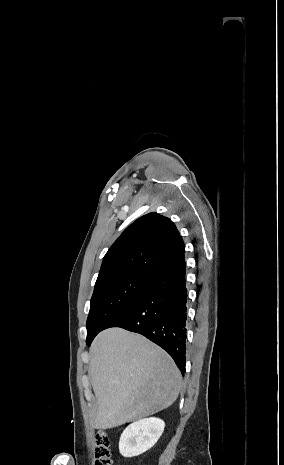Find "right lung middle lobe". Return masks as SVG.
<instances>
[{
    "mask_svg": "<svg viewBox=\"0 0 284 465\" xmlns=\"http://www.w3.org/2000/svg\"><path fill=\"white\" fill-rule=\"evenodd\" d=\"M153 278L126 274L95 283L86 323L87 345L102 331L106 323L137 297Z\"/></svg>",
    "mask_w": 284,
    "mask_h": 465,
    "instance_id": "obj_1",
    "label": "right lung middle lobe"
}]
</instances>
